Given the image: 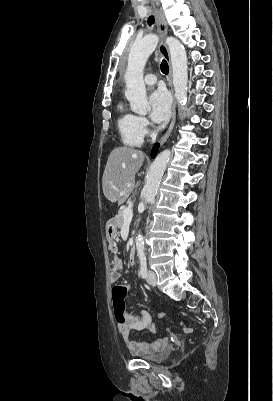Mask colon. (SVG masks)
I'll use <instances>...</instances> for the list:
<instances>
[{
  "instance_id": "5ec220e1",
  "label": "colon",
  "mask_w": 273,
  "mask_h": 401,
  "mask_svg": "<svg viewBox=\"0 0 273 401\" xmlns=\"http://www.w3.org/2000/svg\"><path fill=\"white\" fill-rule=\"evenodd\" d=\"M127 289L131 290L132 286L128 285ZM113 292H114L113 315H114L116 323L119 326H123V325H125V323L127 321V314H126L125 303H124V298L126 295V287L124 285H114Z\"/></svg>"
}]
</instances>
